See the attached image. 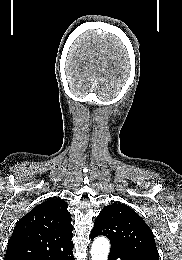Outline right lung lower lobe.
<instances>
[{
    "instance_id": "obj_1",
    "label": "right lung lower lobe",
    "mask_w": 182,
    "mask_h": 260,
    "mask_svg": "<svg viewBox=\"0 0 182 260\" xmlns=\"http://www.w3.org/2000/svg\"><path fill=\"white\" fill-rule=\"evenodd\" d=\"M40 260H74V256L72 249H69L63 252H59L50 257L42 258Z\"/></svg>"
}]
</instances>
